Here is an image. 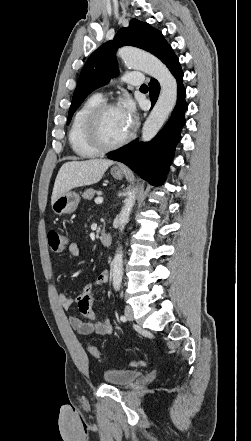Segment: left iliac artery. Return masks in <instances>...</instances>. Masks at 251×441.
<instances>
[{
    "label": "left iliac artery",
    "mask_w": 251,
    "mask_h": 441,
    "mask_svg": "<svg viewBox=\"0 0 251 441\" xmlns=\"http://www.w3.org/2000/svg\"><path fill=\"white\" fill-rule=\"evenodd\" d=\"M120 320H121L122 322H126V321H127V318H126V316L122 315V316L120 317Z\"/></svg>",
    "instance_id": "obj_1"
}]
</instances>
